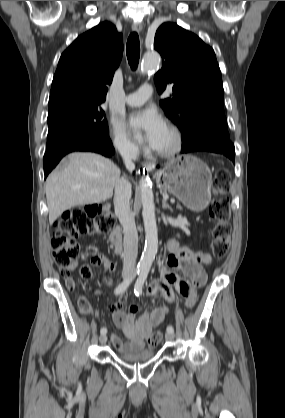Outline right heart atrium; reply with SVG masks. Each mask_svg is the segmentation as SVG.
Segmentation results:
<instances>
[{"label":"right heart atrium","mask_w":285,"mask_h":418,"mask_svg":"<svg viewBox=\"0 0 285 418\" xmlns=\"http://www.w3.org/2000/svg\"><path fill=\"white\" fill-rule=\"evenodd\" d=\"M110 141L114 149L123 157H134L138 152L137 146L122 128L115 127L111 130Z\"/></svg>","instance_id":"1"}]
</instances>
